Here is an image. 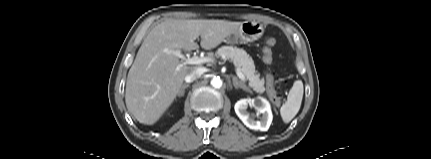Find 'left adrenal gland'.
Segmentation results:
<instances>
[{"instance_id":"obj_1","label":"left adrenal gland","mask_w":431,"mask_h":159,"mask_svg":"<svg viewBox=\"0 0 431 159\" xmlns=\"http://www.w3.org/2000/svg\"><path fill=\"white\" fill-rule=\"evenodd\" d=\"M232 80H233V86L236 89L237 88H241V89H243V90H245L247 92L252 93V91L242 81H239L237 77L233 76Z\"/></svg>"}]
</instances>
